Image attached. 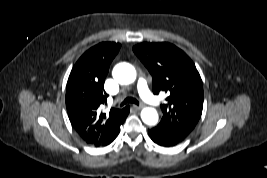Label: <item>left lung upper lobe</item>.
I'll list each match as a JSON object with an SVG mask.
<instances>
[{
  "instance_id": "1",
  "label": "left lung upper lobe",
  "mask_w": 267,
  "mask_h": 178,
  "mask_svg": "<svg viewBox=\"0 0 267 178\" xmlns=\"http://www.w3.org/2000/svg\"><path fill=\"white\" fill-rule=\"evenodd\" d=\"M134 53L153 78V93L168 95L161 105L163 117L158 125L185 139L198 123L203 109V85L192 60L176 46L140 43Z\"/></svg>"
}]
</instances>
